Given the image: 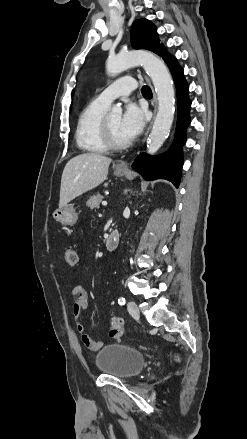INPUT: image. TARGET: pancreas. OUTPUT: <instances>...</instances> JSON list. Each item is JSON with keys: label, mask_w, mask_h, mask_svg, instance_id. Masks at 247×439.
Wrapping results in <instances>:
<instances>
[{"label": "pancreas", "mask_w": 247, "mask_h": 439, "mask_svg": "<svg viewBox=\"0 0 247 439\" xmlns=\"http://www.w3.org/2000/svg\"><path fill=\"white\" fill-rule=\"evenodd\" d=\"M102 200H103V196L100 195L99 193H97V194L91 196V197L87 200L86 205H87L89 208H91V209L99 208L100 203L102 202Z\"/></svg>", "instance_id": "cf45deb5"}]
</instances>
